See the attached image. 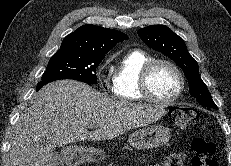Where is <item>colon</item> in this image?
<instances>
[{
  "label": "colon",
  "mask_w": 231,
  "mask_h": 166,
  "mask_svg": "<svg viewBox=\"0 0 231 166\" xmlns=\"http://www.w3.org/2000/svg\"><path fill=\"white\" fill-rule=\"evenodd\" d=\"M171 119L180 129L187 128L198 118V111L191 107H175L169 112ZM192 166H215V145L204 138L197 137L191 143ZM148 166H183V155L173 153L165 157L162 163H150Z\"/></svg>",
  "instance_id": "1"
}]
</instances>
